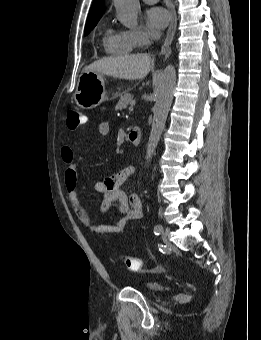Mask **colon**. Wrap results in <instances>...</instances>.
<instances>
[{
  "mask_svg": "<svg viewBox=\"0 0 261 340\" xmlns=\"http://www.w3.org/2000/svg\"><path fill=\"white\" fill-rule=\"evenodd\" d=\"M86 122L85 115L76 106H70L67 110L66 124L69 129L74 130ZM124 266L132 271L139 270L142 266V260L138 257L123 256Z\"/></svg>",
  "mask_w": 261,
  "mask_h": 340,
  "instance_id": "obj_1",
  "label": "colon"
}]
</instances>
